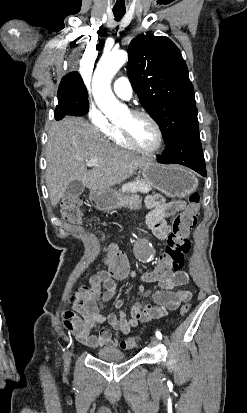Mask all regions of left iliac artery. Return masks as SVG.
<instances>
[{
  "instance_id": "left-iliac-artery-1",
  "label": "left iliac artery",
  "mask_w": 247,
  "mask_h": 413,
  "mask_svg": "<svg viewBox=\"0 0 247 413\" xmlns=\"http://www.w3.org/2000/svg\"><path fill=\"white\" fill-rule=\"evenodd\" d=\"M156 337H157L158 339H162V334H161V332L156 331Z\"/></svg>"
}]
</instances>
